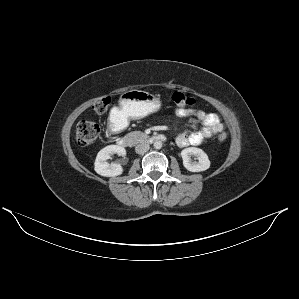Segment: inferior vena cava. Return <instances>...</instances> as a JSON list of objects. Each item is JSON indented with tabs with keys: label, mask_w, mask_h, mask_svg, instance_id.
Listing matches in <instances>:
<instances>
[{
	"label": "inferior vena cava",
	"mask_w": 299,
	"mask_h": 299,
	"mask_svg": "<svg viewBox=\"0 0 299 299\" xmlns=\"http://www.w3.org/2000/svg\"><path fill=\"white\" fill-rule=\"evenodd\" d=\"M150 146L147 143H140L135 147L137 154H144L149 150Z\"/></svg>",
	"instance_id": "inferior-vena-cava-1"
}]
</instances>
